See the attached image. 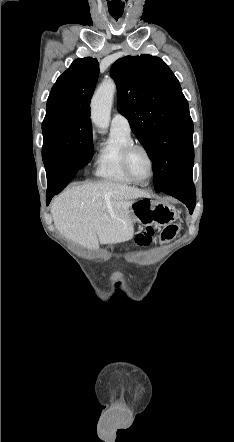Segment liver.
Segmentation results:
<instances>
[{"mask_svg": "<svg viewBox=\"0 0 234 442\" xmlns=\"http://www.w3.org/2000/svg\"><path fill=\"white\" fill-rule=\"evenodd\" d=\"M149 197L140 189L113 182L73 186L51 205L56 229L88 249L98 244L129 241L134 235L130 207L138 198Z\"/></svg>", "mask_w": 234, "mask_h": 442, "instance_id": "obj_1", "label": "liver"}]
</instances>
